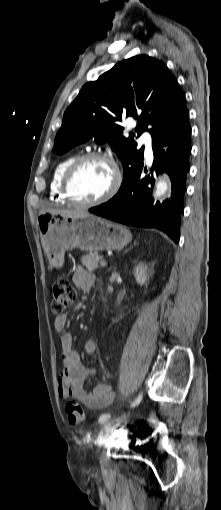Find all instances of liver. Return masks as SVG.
Segmentation results:
<instances>
[{
	"mask_svg": "<svg viewBox=\"0 0 221 510\" xmlns=\"http://www.w3.org/2000/svg\"><path fill=\"white\" fill-rule=\"evenodd\" d=\"M59 213L62 215H72V216H88L90 215L88 212L83 210H65V209H53V208H47L40 210L39 214L42 213Z\"/></svg>",
	"mask_w": 221,
	"mask_h": 510,
	"instance_id": "obj_1",
	"label": "liver"
}]
</instances>
